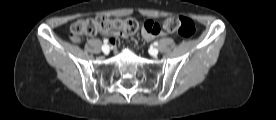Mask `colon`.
I'll use <instances>...</instances> for the list:
<instances>
[{
	"mask_svg": "<svg viewBox=\"0 0 276 120\" xmlns=\"http://www.w3.org/2000/svg\"><path fill=\"white\" fill-rule=\"evenodd\" d=\"M138 27V21L134 18L111 19L100 15L74 22L69 29V38L73 42H79L83 36H92L98 32L108 35L121 34L127 37L134 34ZM163 28L169 33L176 32L185 38H189L195 33L194 22L183 16H173L166 19L163 23ZM143 30L151 35H159L161 33L160 25L151 20L144 23Z\"/></svg>",
	"mask_w": 276,
	"mask_h": 120,
	"instance_id": "colon-1",
	"label": "colon"
}]
</instances>
